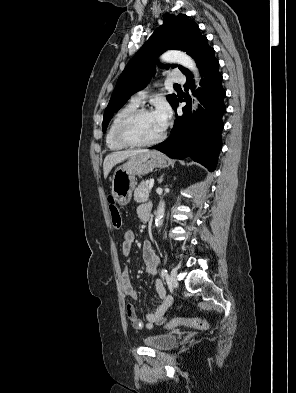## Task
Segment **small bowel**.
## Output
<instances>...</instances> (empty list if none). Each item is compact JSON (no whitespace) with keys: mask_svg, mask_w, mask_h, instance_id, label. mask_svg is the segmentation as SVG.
I'll return each instance as SVG.
<instances>
[{"mask_svg":"<svg viewBox=\"0 0 296 393\" xmlns=\"http://www.w3.org/2000/svg\"><path fill=\"white\" fill-rule=\"evenodd\" d=\"M150 213V204H142L137 209L138 217L142 220H146V217L149 216ZM134 242V232L131 230L126 231L122 242V252L125 256L130 254ZM142 258L145 263L146 272L151 275L157 274L159 258L155 255L154 248L149 241L143 243ZM122 288L126 296H129L132 299L138 298V293L131 283L128 270H125L122 273ZM155 289L159 298V303L154 308V310L145 314L146 324H144L138 316L135 307L131 304L127 305L126 313L133 328L141 329L145 326L147 329H151L154 325L164 322L165 315L173 302V298L171 295L167 294L166 289L160 279L155 281Z\"/></svg>","mask_w":296,"mask_h":393,"instance_id":"c3829d8e","label":"small bowel"}]
</instances>
